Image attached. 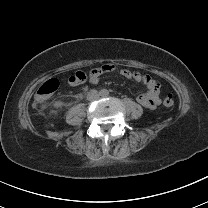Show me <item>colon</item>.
<instances>
[{
  "mask_svg": "<svg viewBox=\"0 0 208 208\" xmlns=\"http://www.w3.org/2000/svg\"><path fill=\"white\" fill-rule=\"evenodd\" d=\"M72 75V74H70ZM77 83L85 84L86 83V73L81 72L80 70H75L74 75L69 78L68 85L74 86ZM61 85V80L57 76H52L46 79L42 84L39 85L36 92V99L33 101V106L37 110H43L47 106V100L52 94V92L59 88ZM164 106L171 108L174 105V101L171 97H168L163 102Z\"/></svg>",
  "mask_w": 208,
  "mask_h": 208,
  "instance_id": "1",
  "label": "colon"
}]
</instances>
